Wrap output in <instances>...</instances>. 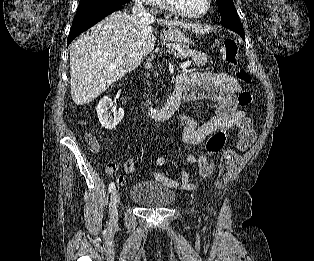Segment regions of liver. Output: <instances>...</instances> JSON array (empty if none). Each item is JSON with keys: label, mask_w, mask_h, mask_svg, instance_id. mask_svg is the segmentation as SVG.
<instances>
[{"label": "liver", "mask_w": 314, "mask_h": 261, "mask_svg": "<svg viewBox=\"0 0 314 261\" xmlns=\"http://www.w3.org/2000/svg\"><path fill=\"white\" fill-rule=\"evenodd\" d=\"M135 15L116 12L76 39L70 48L71 95L76 105L93 101L114 82L134 70L155 46L152 23ZM168 27L191 25L157 20ZM122 62L107 70L110 65Z\"/></svg>", "instance_id": "liver-1"}]
</instances>
